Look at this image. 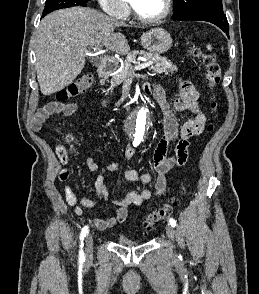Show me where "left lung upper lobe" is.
I'll return each mask as SVG.
<instances>
[{
    "instance_id": "left-lung-upper-lobe-1",
    "label": "left lung upper lobe",
    "mask_w": 259,
    "mask_h": 294,
    "mask_svg": "<svg viewBox=\"0 0 259 294\" xmlns=\"http://www.w3.org/2000/svg\"><path fill=\"white\" fill-rule=\"evenodd\" d=\"M174 18L200 11L223 12L222 0H174Z\"/></svg>"
}]
</instances>
